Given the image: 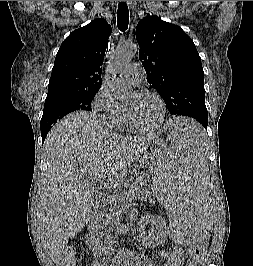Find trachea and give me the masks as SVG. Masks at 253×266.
<instances>
[{"label": "trachea", "mask_w": 253, "mask_h": 266, "mask_svg": "<svg viewBox=\"0 0 253 266\" xmlns=\"http://www.w3.org/2000/svg\"><path fill=\"white\" fill-rule=\"evenodd\" d=\"M129 23V10L125 2H120L117 13V26L121 31H126Z\"/></svg>", "instance_id": "trachea-1"}]
</instances>
